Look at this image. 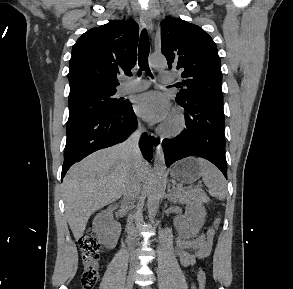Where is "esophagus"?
I'll return each instance as SVG.
<instances>
[{
	"label": "esophagus",
	"instance_id": "1",
	"mask_svg": "<svg viewBox=\"0 0 293 289\" xmlns=\"http://www.w3.org/2000/svg\"><path fill=\"white\" fill-rule=\"evenodd\" d=\"M140 22L148 30L149 34H151L152 29H153V24H152V20H151L150 15L148 14V12L141 11V13H140ZM150 139H151V141L153 143V146L156 149H160L162 139L159 136L155 135L154 133H150Z\"/></svg>",
	"mask_w": 293,
	"mask_h": 289
}]
</instances>
